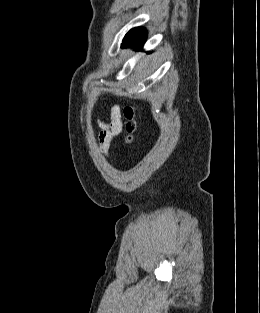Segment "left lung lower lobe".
<instances>
[{
  "mask_svg": "<svg viewBox=\"0 0 260 313\" xmlns=\"http://www.w3.org/2000/svg\"><path fill=\"white\" fill-rule=\"evenodd\" d=\"M147 33L144 28L136 27L128 31L125 35L122 45H132L135 48H141L146 40Z\"/></svg>",
  "mask_w": 260,
  "mask_h": 313,
  "instance_id": "0a47b994",
  "label": "left lung lower lobe"
}]
</instances>
